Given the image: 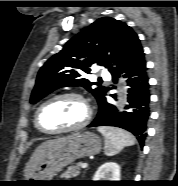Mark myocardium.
<instances>
[{"label": "myocardium", "instance_id": "f54148a6", "mask_svg": "<svg viewBox=\"0 0 178 186\" xmlns=\"http://www.w3.org/2000/svg\"><path fill=\"white\" fill-rule=\"evenodd\" d=\"M66 97L76 98L84 105V107H85L84 118L78 124H76L72 127L65 128V129H60V130H47V129H45L41 124V113H42L43 109L51 102L61 99V98H66ZM91 118H92V108H91L89 102L87 101V99L82 94L77 93V92H64V93H60V94L52 96L51 98L44 101L37 108L36 113H35V126L38 128L39 131H41L44 134L57 135V134H63V133H69V132H75V131L81 130L89 124Z\"/></svg>", "mask_w": 178, "mask_h": 186}]
</instances>
